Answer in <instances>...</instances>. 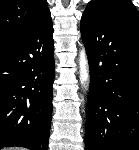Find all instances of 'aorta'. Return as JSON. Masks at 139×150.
I'll list each match as a JSON object with an SVG mask.
<instances>
[{"label":"aorta","instance_id":"aorta-1","mask_svg":"<svg viewBox=\"0 0 139 150\" xmlns=\"http://www.w3.org/2000/svg\"><path fill=\"white\" fill-rule=\"evenodd\" d=\"M79 68H80V81L83 87L86 89L87 88L86 82L89 80V67L84 46H82V49L80 51Z\"/></svg>","mask_w":139,"mask_h":150}]
</instances>
